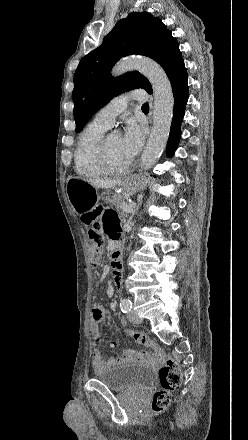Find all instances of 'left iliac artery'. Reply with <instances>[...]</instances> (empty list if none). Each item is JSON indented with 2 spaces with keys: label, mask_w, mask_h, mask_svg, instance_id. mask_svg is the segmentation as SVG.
<instances>
[{
  "label": "left iliac artery",
  "mask_w": 248,
  "mask_h": 440,
  "mask_svg": "<svg viewBox=\"0 0 248 440\" xmlns=\"http://www.w3.org/2000/svg\"><path fill=\"white\" fill-rule=\"evenodd\" d=\"M120 308L123 313H127L132 308V303L129 299L124 298L121 300Z\"/></svg>",
  "instance_id": "left-iliac-artery-1"
}]
</instances>
